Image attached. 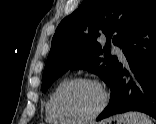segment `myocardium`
<instances>
[{"instance_id":"f54148a6","label":"myocardium","mask_w":156,"mask_h":124,"mask_svg":"<svg viewBox=\"0 0 156 124\" xmlns=\"http://www.w3.org/2000/svg\"><path fill=\"white\" fill-rule=\"evenodd\" d=\"M79 84L94 85L100 90L101 95H102V101H101L100 106L97 108V110L93 114H91L87 117H83V118H78L73 115H70V114L66 113L61 107V98H62L63 94L69 88H71L75 85H79ZM108 103H109V93L102 82H100L98 79L91 78V77H78V78H73V79L67 81L59 88V90L57 91V93L54 97L53 106H54L55 112L62 119L66 120L70 123L81 124V123H88V122L96 120L104 112V110L108 106Z\"/></svg>"}]
</instances>
